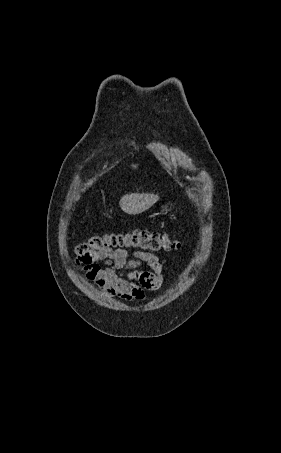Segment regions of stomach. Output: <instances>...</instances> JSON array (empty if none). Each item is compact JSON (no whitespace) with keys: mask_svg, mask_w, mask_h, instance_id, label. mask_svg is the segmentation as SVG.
Instances as JSON below:
<instances>
[{"mask_svg":"<svg viewBox=\"0 0 281 453\" xmlns=\"http://www.w3.org/2000/svg\"><path fill=\"white\" fill-rule=\"evenodd\" d=\"M162 212H168V204H164Z\"/></svg>","mask_w":281,"mask_h":453,"instance_id":"1","label":"stomach"}]
</instances>
